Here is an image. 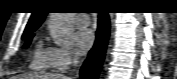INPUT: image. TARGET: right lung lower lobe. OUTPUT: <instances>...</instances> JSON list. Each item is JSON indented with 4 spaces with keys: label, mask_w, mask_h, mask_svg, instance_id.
I'll return each mask as SVG.
<instances>
[{
    "label": "right lung lower lobe",
    "mask_w": 177,
    "mask_h": 79,
    "mask_svg": "<svg viewBox=\"0 0 177 79\" xmlns=\"http://www.w3.org/2000/svg\"><path fill=\"white\" fill-rule=\"evenodd\" d=\"M109 17L107 13H99L97 39L94 47L89 52L81 70V79H97L105 55L106 44L109 36Z\"/></svg>",
    "instance_id": "obj_1"
}]
</instances>
